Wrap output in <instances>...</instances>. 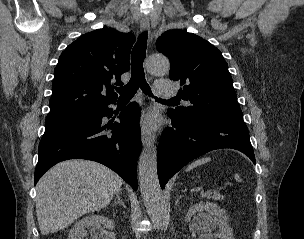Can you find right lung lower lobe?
I'll list each match as a JSON object with an SVG mask.
<instances>
[{"mask_svg": "<svg viewBox=\"0 0 304 239\" xmlns=\"http://www.w3.org/2000/svg\"><path fill=\"white\" fill-rule=\"evenodd\" d=\"M102 104L83 116L45 122V133L38 148L34 184L56 163L67 159H88L102 163L137 190V159L141 151L139 118L136 103L119 115L120 122L103 125L113 109Z\"/></svg>", "mask_w": 304, "mask_h": 239, "instance_id": "98d812e1", "label": "right lung lower lobe"}]
</instances>
